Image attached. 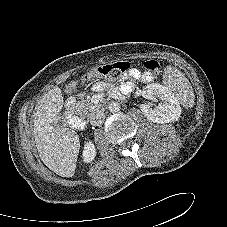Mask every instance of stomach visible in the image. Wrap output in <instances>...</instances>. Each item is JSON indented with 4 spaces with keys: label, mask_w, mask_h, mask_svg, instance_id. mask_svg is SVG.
Returning a JSON list of instances; mask_svg holds the SVG:
<instances>
[{
    "label": "stomach",
    "mask_w": 227,
    "mask_h": 227,
    "mask_svg": "<svg viewBox=\"0 0 227 227\" xmlns=\"http://www.w3.org/2000/svg\"><path fill=\"white\" fill-rule=\"evenodd\" d=\"M95 73H96L97 75H101V76L103 75L102 73L99 72L98 69H95Z\"/></svg>",
    "instance_id": "0dacf381"
}]
</instances>
